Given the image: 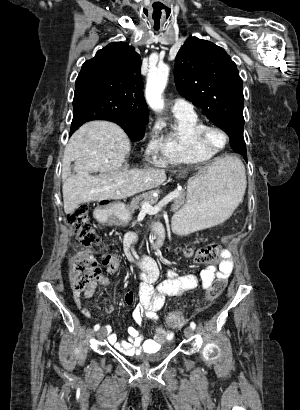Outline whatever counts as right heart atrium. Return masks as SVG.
<instances>
[{"instance_id":"right-heart-atrium-1","label":"right heart atrium","mask_w":300,"mask_h":410,"mask_svg":"<svg viewBox=\"0 0 300 410\" xmlns=\"http://www.w3.org/2000/svg\"><path fill=\"white\" fill-rule=\"evenodd\" d=\"M160 127L158 124L153 125L151 130V138L147 147V154L152 158L162 150V138L159 136Z\"/></svg>"}]
</instances>
